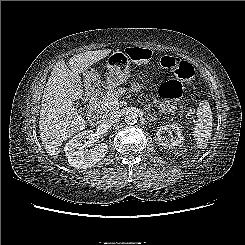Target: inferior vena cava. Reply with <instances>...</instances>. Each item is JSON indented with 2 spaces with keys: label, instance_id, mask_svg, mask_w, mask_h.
Wrapping results in <instances>:
<instances>
[{
  "label": "inferior vena cava",
  "instance_id": "obj_1",
  "mask_svg": "<svg viewBox=\"0 0 245 245\" xmlns=\"http://www.w3.org/2000/svg\"><path fill=\"white\" fill-rule=\"evenodd\" d=\"M119 119V116L115 112H110L102 116L101 126L110 128L112 127Z\"/></svg>",
  "mask_w": 245,
  "mask_h": 245
}]
</instances>
